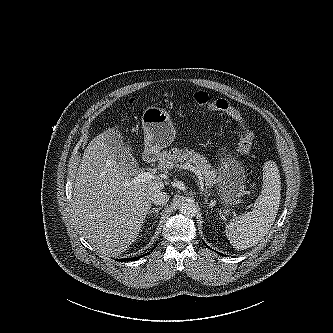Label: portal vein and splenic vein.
Segmentation results:
<instances>
[{"instance_id": "18ae733b", "label": "portal vein and splenic vein", "mask_w": 333, "mask_h": 333, "mask_svg": "<svg viewBox=\"0 0 333 333\" xmlns=\"http://www.w3.org/2000/svg\"><path fill=\"white\" fill-rule=\"evenodd\" d=\"M186 169H190L191 171H193L195 173V175L198 177V184L200 185V188L202 189V191H205L204 189V183L201 177V172L198 171L195 167H193L192 165H187L185 167ZM158 176L155 173H151V172H141L139 174H137L134 178L131 179L132 183H140V182H146V181H152V180H157Z\"/></svg>"}]
</instances>
